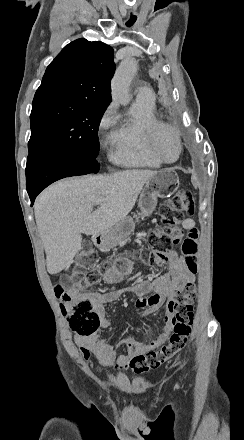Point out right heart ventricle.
<instances>
[{
    "label": "right heart ventricle",
    "mask_w": 244,
    "mask_h": 440,
    "mask_svg": "<svg viewBox=\"0 0 244 440\" xmlns=\"http://www.w3.org/2000/svg\"><path fill=\"white\" fill-rule=\"evenodd\" d=\"M118 119L120 126L107 137V142L116 146L113 159L124 166L158 167L160 161L152 150L154 142L149 135L155 132L152 126L158 122L155 102L135 99L128 117Z\"/></svg>",
    "instance_id": "e07e8e85"
}]
</instances>
